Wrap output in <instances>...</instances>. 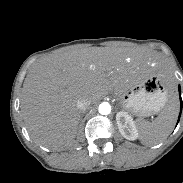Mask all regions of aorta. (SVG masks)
Wrapping results in <instances>:
<instances>
[{
	"instance_id": "1",
	"label": "aorta",
	"mask_w": 183,
	"mask_h": 183,
	"mask_svg": "<svg viewBox=\"0 0 183 183\" xmlns=\"http://www.w3.org/2000/svg\"><path fill=\"white\" fill-rule=\"evenodd\" d=\"M98 110L101 115H108L111 112V106L109 103L103 102L99 105Z\"/></svg>"
}]
</instances>
